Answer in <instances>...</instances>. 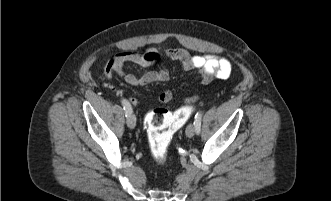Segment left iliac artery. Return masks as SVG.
I'll return each instance as SVG.
<instances>
[{
	"mask_svg": "<svg viewBox=\"0 0 331 201\" xmlns=\"http://www.w3.org/2000/svg\"><path fill=\"white\" fill-rule=\"evenodd\" d=\"M201 118H202V112L197 113L194 121L197 134H199L201 130Z\"/></svg>",
	"mask_w": 331,
	"mask_h": 201,
	"instance_id": "1",
	"label": "left iliac artery"
}]
</instances>
